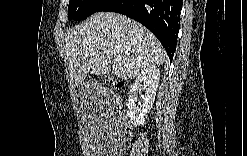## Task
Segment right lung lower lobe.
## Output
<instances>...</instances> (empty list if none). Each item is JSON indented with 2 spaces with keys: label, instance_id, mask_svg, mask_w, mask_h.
Masks as SVG:
<instances>
[{
  "label": "right lung lower lobe",
  "instance_id": "obj_1",
  "mask_svg": "<svg viewBox=\"0 0 247 156\" xmlns=\"http://www.w3.org/2000/svg\"><path fill=\"white\" fill-rule=\"evenodd\" d=\"M181 8V0H107L98 12H117L142 23L159 39L172 60Z\"/></svg>",
  "mask_w": 247,
  "mask_h": 156
}]
</instances>
